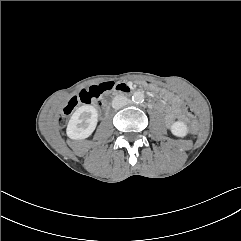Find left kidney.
<instances>
[{"label":"left kidney","mask_w":241,"mask_h":241,"mask_svg":"<svg viewBox=\"0 0 241 241\" xmlns=\"http://www.w3.org/2000/svg\"><path fill=\"white\" fill-rule=\"evenodd\" d=\"M171 132L177 137H185L188 134V127L184 122L177 121L171 125Z\"/></svg>","instance_id":"5707ae66"}]
</instances>
